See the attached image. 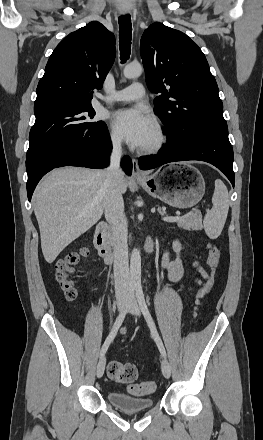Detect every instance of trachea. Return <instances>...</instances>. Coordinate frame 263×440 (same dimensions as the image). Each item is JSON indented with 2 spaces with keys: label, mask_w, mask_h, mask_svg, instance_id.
Segmentation results:
<instances>
[{
  "label": "trachea",
  "mask_w": 263,
  "mask_h": 440,
  "mask_svg": "<svg viewBox=\"0 0 263 440\" xmlns=\"http://www.w3.org/2000/svg\"><path fill=\"white\" fill-rule=\"evenodd\" d=\"M132 40V24L130 15L119 17V49L120 58L124 63L130 55Z\"/></svg>",
  "instance_id": "3493384b"
}]
</instances>
